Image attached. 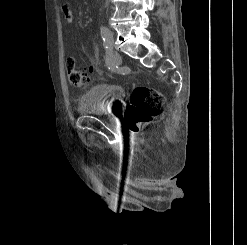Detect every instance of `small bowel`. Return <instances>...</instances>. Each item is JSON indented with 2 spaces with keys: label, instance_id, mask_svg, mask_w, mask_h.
<instances>
[{
  "label": "small bowel",
  "instance_id": "1",
  "mask_svg": "<svg viewBox=\"0 0 247 245\" xmlns=\"http://www.w3.org/2000/svg\"><path fill=\"white\" fill-rule=\"evenodd\" d=\"M63 13L65 15V18L68 22H71L73 19L72 12L68 6L63 7Z\"/></svg>",
  "mask_w": 247,
  "mask_h": 245
}]
</instances>
